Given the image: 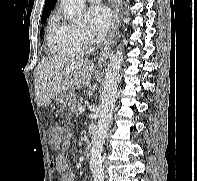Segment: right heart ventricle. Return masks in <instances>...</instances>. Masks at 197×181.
I'll return each instance as SVG.
<instances>
[{"label":"right heart ventricle","instance_id":"obj_1","mask_svg":"<svg viewBox=\"0 0 197 181\" xmlns=\"http://www.w3.org/2000/svg\"><path fill=\"white\" fill-rule=\"evenodd\" d=\"M46 41L49 52L54 56L74 57L80 53L72 25L61 21L57 16L50 19Z\"/></svg>","mask_w":197,"mask_h":181}]
</instances>
